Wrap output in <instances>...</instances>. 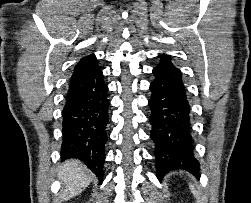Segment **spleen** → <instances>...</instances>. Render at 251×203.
Listing matches in <instances>:
<instances>
[{
    "label": "spleen",
    "instance_id": "obj_1",
    "mask_svg": "<svg viewBox=\"0 0 251 203\" xmlns=\"http://www.w3.org/2000/svg\"><path fill=\"white\" fill-rule=\"evenodd\" d=\"M190 187H191L192 193H193L194 195L198 196L197 191L193 188V186H190Z\"/></svg>",
    "mask_w": 251,
    "mask_h": 203
}]
</instances>
